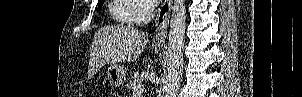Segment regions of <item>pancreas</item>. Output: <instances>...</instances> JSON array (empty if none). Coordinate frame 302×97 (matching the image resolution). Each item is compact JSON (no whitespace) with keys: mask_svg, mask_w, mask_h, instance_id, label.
Listing matches in <instances>:
<instances>
[{"mask_svg":"<svg viewBox=\"0 0 302 97\" xmlns=\"http://www.w3.org/2000/svg\"><path fill=\"white\" fill-rule=\"evenodd\" d=\"M143 81V77L138 72L134 73V75H131L129 78V81L126 85V88L130 91L133 89V87L137 84H140Z\"/></svg>","mask_w":302,"mask_h":97,"instance_id":"cf45deb5","label":"pancreas"}]
</instances>
